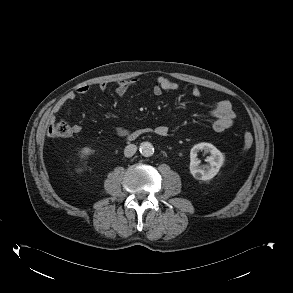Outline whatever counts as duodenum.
<instances>
[{"instance_id":"duodenum-1","label":"duodenum","mask_w":293,"mask_h":293,"mask_svg":"<svg viewBox=\"0 0 293 293\" xmlns=\"http://www.w3.org/2000/svg\"><path fill=\"white\" fill-rule=\"evenodd\" d=\"M150 131H151V130L148 129V128H146V129H141V130H137V131L133 132L132 134H130V135L128 136V138H129L130 140H133V139H136L137 137H139V136L142 135V134L149 133Z\"/></svg>"}]
</instances>
